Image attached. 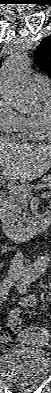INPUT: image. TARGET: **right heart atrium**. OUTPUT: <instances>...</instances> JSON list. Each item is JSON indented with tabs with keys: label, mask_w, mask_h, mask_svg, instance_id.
<instances>
[{
	"label": "right heart atrium",
	"mask_w": 51,
	"mask_h": 393,
	"mask_svg": "<svg viewBox=\"0 0 51 393\" xmlns=\"http://www.w3.org/2000/svg\"><path fill=\"white\" fill-rule=\"evenodd\" d=\"M23 116L18 114L7 99L0 100V130L2 133L22 138Z\"/></svg>",
	"instance_id": "right-heart-atrium-1"
}]
</instances>
